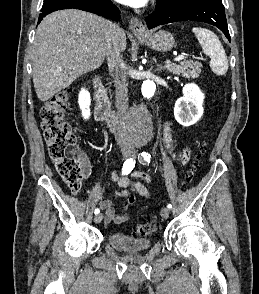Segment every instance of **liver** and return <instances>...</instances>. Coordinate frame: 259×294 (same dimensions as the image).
Returning <instances> with one entry per match:
<instances>
[{
  "label": "liver",
  "mask_w": 259,
  "mask_h": 294,
  "mask_svg": "<svg viewBox=\"0 0 259 294\" xmlns=\"http://www.w3.org/2000/svg\"><path fill=\"white\" fill-rule=\"evenodd\" d=\"M110 37V22L92 13L68 9L47 15L36 30L32 53L39 100L48 101L81 75L98 69ZM120 46L126 49L124 31Z\"/></svg>",
  "instance_id": "obj_1"
}]
</instances>
